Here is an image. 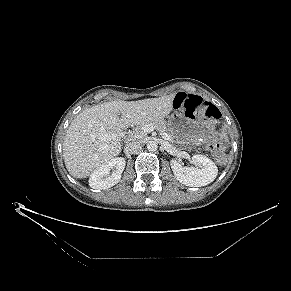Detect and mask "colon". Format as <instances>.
<instances>
[{
	"instance_id": "colon-1",
	"label": "colon",
	"mask_w": 291,
	"mask_h": 291,
	"mask_svg": "<svg viewBox=\"0 0 291 291\" xmlns=\"http://www.w3.org/2000/svg\"><path fill=\"white\" fill-rule=\"evenodd\" d=\"M174 107L187 116L203 114L212 118L220 117V110L209 101L199 97L179 93L174 99ZM207 149L216 156L217 163L224 165L227 157L224 154L223 143L215 139L207 145Z\"/></svg>"
}]
</instances>
